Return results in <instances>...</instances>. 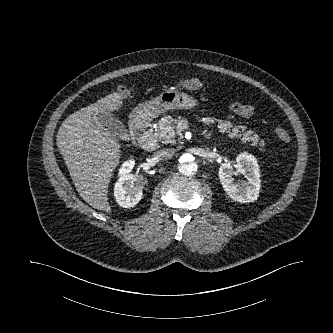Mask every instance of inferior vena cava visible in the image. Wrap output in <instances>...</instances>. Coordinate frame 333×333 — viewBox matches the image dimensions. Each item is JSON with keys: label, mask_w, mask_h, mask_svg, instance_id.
Listing matches in <instances>:
<instances>
[{"label": "inferior vena cava", "mask_w": 333, "mask_h": 333, "mask_svg": "<svg viewBox=\"0 0 333 333\" xmlns=\"http://www.w3.org/2000/svg\"><path fill=\"white\" fill-rule=\"evenodd\" d=\"M175 154V150L171 148L160 149L155 152V156L160 161H167Z\"/></svg>", "instance_id": "602c4592"}]
</instances>
